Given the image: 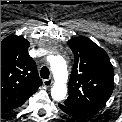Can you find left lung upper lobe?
<instances>
[{
  "label": "left lung upper lobe",
  "instance_id": "left-lung-upper-lobe-1",
  "mask_svg": "<svg viewBox=\"0 0 122 122\" xmlns=\"http://www.w3.org/2000/svg\"><path fill=\"white\" fill-rule=\"evenodd\" d=\"M75 62L69 80V96L64 105L92 117L110 98L114 70L107 53L87 37L67 42Z\"/></svg>",
  "mask_w": 122,
  "mask_h": 122
}]
</instances>
